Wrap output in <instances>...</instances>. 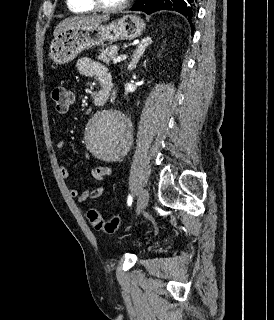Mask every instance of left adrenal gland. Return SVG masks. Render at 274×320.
<instances>
[{
	"mask_svg": "<svg viewBox=\"0 0 274 320\" xmlns=\"http://www.w3.org/2000/svg\"><path fill=\"white\" fill-rule=\"evenodd\" d=\"M149 44H152V40L151 38H144V40H142L141 44H138V48L137 50H135L133 56H132V60L131 62H129V70H135L141 56H143L147 46H149Z\"/></svg>",
	"mask_w": 274,
	"mask_h": 320,
	"instance_id": "1",
	"label": "left adrenal gland"
}]
</instances>
